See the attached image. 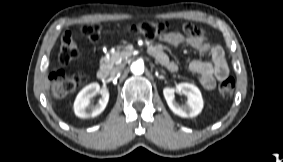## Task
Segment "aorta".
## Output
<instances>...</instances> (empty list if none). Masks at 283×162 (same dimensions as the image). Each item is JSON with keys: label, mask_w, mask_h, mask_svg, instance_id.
Returning a JSON list of instances; mask_svg holds the SVG:
<instances>
[{"label": "aorta", "mask_w": 283, "mask_h": 162, "mask_svg": "<svg viewBox=\"0 0 283 162\" xmlns=\"http://www.w3.org/2000/svg\"><path fill=\"white\" fill-rule=\"evenodd\" d=\"M131 72L135 75H140L144 72V63L142 61H135L131 65Z\"/></svg>", "instance_id": "1"}]
</instances>
